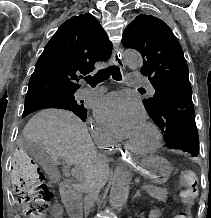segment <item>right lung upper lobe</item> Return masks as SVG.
I'll list each match as a JSON object with an SVG mask.
<instances>
[{"label":"right lung upper lobe","mask_w":211,"mask_h":218,"mask_svg":"<svg viewBox=\"0 0 211 218\" xmlns=\"http://www.w3.org/2000/svg\"><path fill=\"white\" fill-rule=\"evenodd\" d=\"M111 50L112 43L94 16H73L45 46L30 78L25 102L77 90L80 74L86 75L94 70V63L108 60Z\"/></svg>","instance_id":"obj_1"}]
</instances>
